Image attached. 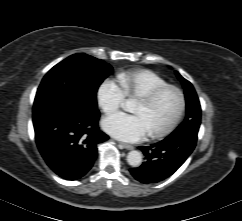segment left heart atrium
Here are the masks:
<instances>
[{
  "label": "left heart atrium",
  "mask_w": 242,
  "mask_h": 221,
  "mask_svg": "<svg viewBox=\"0 0 242 221\" xmlns=\"http://www.w3.org/2000/svg\"><path fill=\"white\" fill-rule=\"evenodd\" d=\"M102 126L108 134L125 142L139 141L149 133L145 120L139 115L115 113L104 118Z\"/></svg>",
  "instance_id": "left-heart-atrium-1"
}]
</instances>
